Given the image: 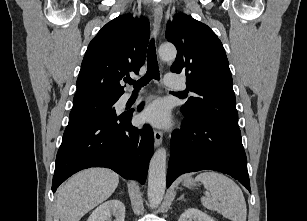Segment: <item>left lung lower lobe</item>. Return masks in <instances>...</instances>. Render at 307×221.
<instances>
[{
  "label": "left lung lower lobe",
  "mask_w": 307,
  "mask_h": 221,
  "mask_svg": "<svg viewBox=\"0 0 307 221\" xmlns=\"http://www.w3.org/2000/svg\"><path fill=\"white\" fill-rule=\"evenodd\" d=\"M167 187L181 174L214 170L231 175L249 191L247 159L240 131L207 117H185L171 137Z\"/></svg>",
  "instance_id": "left-lung-lower-lobe-1"
}]
</instances>
